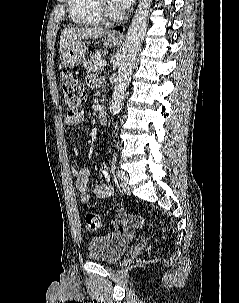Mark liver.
Returning a JSON list of instances; mask_svg holds the SVG:
<instances>
[{"instance_id": "liver-1", "label": "liver", "mask_w": 239, "mask_h": 303, "mask_svg": "<svg viewBox=\"0 0 239 303\" xmlns=\"http://www.w3.org/2000/svg\"><path fill=\"white\" fill-rule=\"evenodd\" d=\"M108 32L100 27L74 29L66 28L62 31L60 47L61 49L68 47L72 42L82 39H95L105 36Z\"/></svg>"}]
</instances>
